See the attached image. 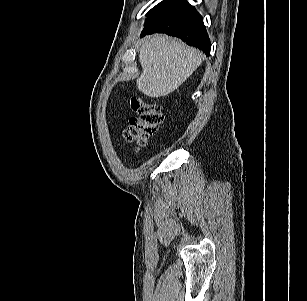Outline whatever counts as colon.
Returning a JSON list of instances; mask_svg holds the SVG:
<instances>
[{
	"instance_id": "1",
	"label": "colon",
	"mask_w": 307,
	"mask_h": 301,
	"mask_svg": "<svg viewBox=\"0 0 307 301\" xmlns=\"http://www.w3.org/2000/svg\"><path fill=\"white\" fill-rule=\"evenodd\" d=\"M131 107L137 116L130 119L124 139L127 143L143 146L161 123L162 110L158 104L140 100H132Z\"/></svg>"
}]
</instances>
